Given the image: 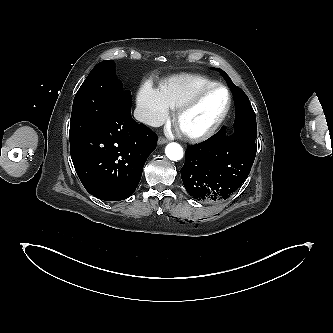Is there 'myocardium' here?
Returning <instances> with one entry per match:
<instances>
[{
	"label": "myocardium",
	"mask_w": 333,
	"mask_h": 333,
	"mask_svg": "<svg viewBox=\"0 0 333 333\" xmlns=\"http://www.w3.org/2000/svg\"><path fill=\"white\" fill-rule=\"evenodd\" d=\"M217 89H223L225 90L227 94V103L222 111V113L219 115V117L206 129L197 131V132H190L185 131L181 128V120L182 118L190 112L193 108H195L199 102L210 92L217 90ZM232 94L229 90V88L223 84L215 83L213 85L207 86L200 91H198L196 94H194L188 101H186L183 105H181L174 116V124L178 131L181 133L183 137H185L189 141L198 142L206 140L210 137H212L222 126V124L225 122L226 118L228 117L231 108H232Z\"/></svg>",
	"instance_id": "obj_1"
}]
</instances>
